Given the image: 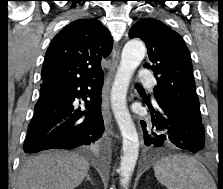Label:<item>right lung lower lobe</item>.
Here are the masks:
<instances>
[{
  "instance_id": "1",
  "label": "right lung lower lobe",
  "mask_w": 223,
  "mask_h": 189,
  "mask_svg": "<svg viewBox=\"0 0 223 189\" xmlns=\"http://www.w3.org/2000/svg\"><path fill=\"white\" fill-rule=\"evenodd\" d=\"M103 79L104 75L80 84L41 88L28 126L24 152L96 144L104 131L101 114ZM76 98L85 101L88 112L77 108Z\"/></svg>"
}]
</instances>
